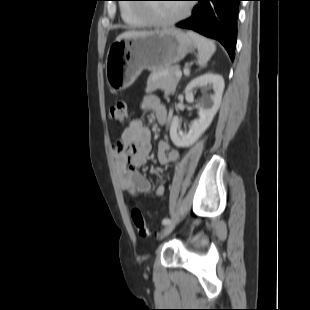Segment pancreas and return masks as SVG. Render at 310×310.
<instances>
[{"mask_svg": "<svg viewBox=\"0 0 310 310\" xmlns=\"http://www.w3.org/2000/svg\"><path fill=\"white\" fill-rule=\"evenodd\" d=\"M179 70L178 66H171L165 69L153 71L147 80L146 93L157 89L164 91L165 96L173 95L180 78L175 76Z\"/></svg>", "mask_w": 310, "mask_h": 310, "instance_id": "1", "label": "pancreas"}]
</instances>
